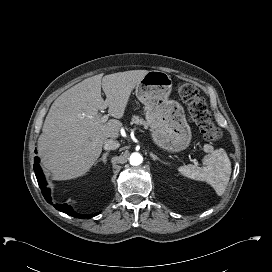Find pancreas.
<instances>
[{
	"label": "pancreas",
	"instance_id": "cf45deb5",
	"mask_svg": "<svg viewBox=\"0 0 272 272\" xmlns=\"http://www.w3.org/2000/svg\"><path fill=\"white\" fill-rule=\"evenodd\" d=\"M131 124L143 125L144 127L147 126V123L139 116H133V118L131 120Z\"/></svg>",
	"mask_w": 272,
	"mask_h": 272
}]
</instances>
